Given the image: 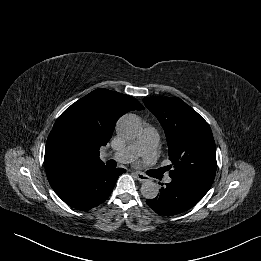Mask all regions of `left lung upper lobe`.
<instances>
[{
    "label": "left lung upper lobe",
    "mask_w": 261,
    "mask_h": 261,
    "mask_svg": "<svg viewBox=\"0 0 261 261\" xmlns=\"http://www.w3.org/2000/svg\"><path fill=\"white\" fill-rule=\"evenodd\" d=\"M143 102L165 131L173 164L169 176L193 177L212 184L216 146L208 123L180 98L146 97Z\"/></svg>",
    "instance_id": "obj_1"
}]
</instances>
